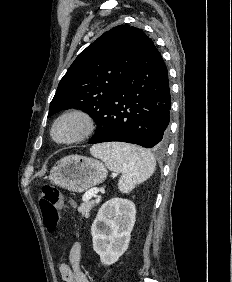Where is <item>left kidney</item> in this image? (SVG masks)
Instances as JSON below:
<instances>
[{"instance_id": "left-kidney-1", "label": "left kidney", "mask_w": 232, "mask_h": 282, "mask_svg": "<svg viewBox=\"0 0 232 282\" xmlns=\"http://www.w3.org/2000/svg\"><path fill=\"white\" fill-rule=\"evenodd\" d=\"M135 215V205L127 199L112 198L99 209L91 234L93 249L104 265L114 264L127 250Z\"/></svg>"}]
</instances>
